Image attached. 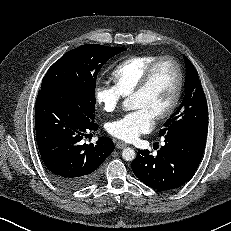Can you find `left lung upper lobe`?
Returning a JSON list of instances; mask_svg holds the SVG:
<instances>
[{
	"mask_svg": "<svg viewBox=\"0 0 231 231\" xmlns=\"http://www.w3.org/2000/svg\"><path fill=\"white\" fill-rule=\"evenodd\" d=\"M185 95L177 111L165 122L159 136L170 133L207 135L208 108L197 71L186 56Z\"/></svg>",
	"mask_w": 231,
	"mask_h": 231,
	"instance_id": "1",
	"label": "left lung upper lobe"
}]
</instances>
